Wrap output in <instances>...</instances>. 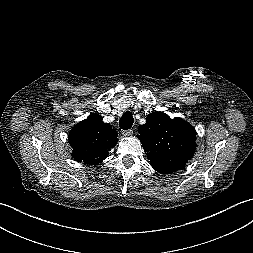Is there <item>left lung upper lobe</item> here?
<instances>
[{"label":"left lung upper lobe","instance_id":"left-lung-upper-lobe-1","mask_svg":"<svg viewBox=\"0 0 253 253\" xmlns=\"http://www.w3.org/2000/svg\"><path fill=\"white\" fill-rule=\"evenodd\" d=\"M150 165L159 173L169 174L185 167L196 149V130L181 118H170L163 112H153L138 128Z\"/></svg>","mask_w":253,"mask_h":253}]
</instances>
